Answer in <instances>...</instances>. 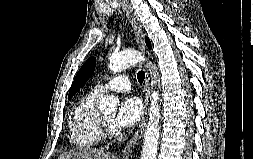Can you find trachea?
Listing matches in <instances>:
<instances>
[{
    "instance_id": "3493384b",
    "label": "trachea",
    "mask_w": 253,
    "mask_h": 159,
    "mask_svg": "<svg viewBox=\"0 0 253 159\" xmlns=\"http://www.w3.org/2000/svg\"><path fill=\"white\" fill-rule=\"evenodd\" d=\"M137 79H138L139 83L142 84L145 79V72L139 71L137 74Z\"/></svg>"
}]
</instances>
